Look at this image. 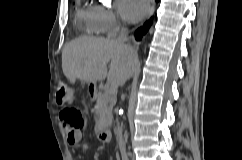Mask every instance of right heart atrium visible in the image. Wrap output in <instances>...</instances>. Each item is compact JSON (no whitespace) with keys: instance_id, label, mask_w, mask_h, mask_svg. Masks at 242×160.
Instances as JSON below:
<instances>
[{"instance_id":"1","label":"right heart atrium","mask_w":242,"mask_h":160,"mask_svg":"<svg viewBox=\"0 0 242 160\" xmlns=\"http://www.w3.org/2000/svg\"><path fill=\"white\" fill-rule=\"evenodd\" d=\"M95 13L100 33L112 34L119 26V20L113 10L105 5H96Z\"/></svg>"}]
</instances>
